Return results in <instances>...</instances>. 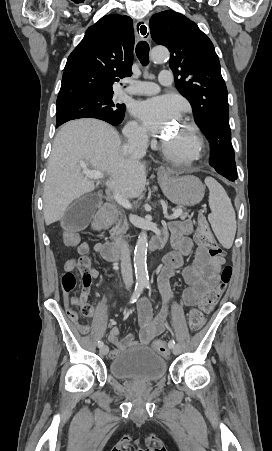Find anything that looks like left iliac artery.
I'll return each instance as SVG.
<instances>
[{
	"instance_id": "44dca946",
	"label": "left iliac artery",
	"mask_w": 272,
	"mask_h": 451,
	"mask_svg": "<svg viewBox=\"0 0 272 451\" xmlns=\"http://www.w3.org/2000/svg\"><path fill=\"white\" fill-rule=\"evenodd\" d=\"M145 287L150 289V282L148 280L145 281ZM175 346V341L174 340H170L168 343V347L169 348H173Z\"/></svg>"
}]
</instances>
